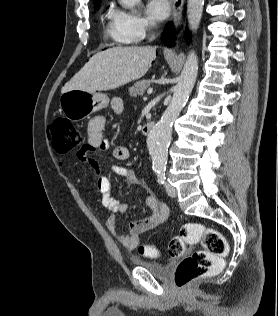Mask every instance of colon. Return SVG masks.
Returning a JSON list of instances; mask_svg holds the SVG:
<instances>
[{
	"mask_svg": "<svg viewBox=\"0 0 278 316\" xmlns=\"http://www.w3.org/2000/svg\"><path fill=\"white\" fill-rule=\"evenodd\" d=\"M53 147L58 153L69 152L84 142L83 132L70 121L58 118L51 126ZM201 243L203 249L184 257L175 270V283L184 289L194 280L219 272L224 265V257L228 253V245L223 235L215 228L200 223H187L180 233L174 236L168 246L172 257H180L185 253L186 245ZM140 253L151 257L159 255L158 251L148 247H140Z\"/></svg>",
	"mask_w": 278,
	"mask_h": 316,
	"instance_id": "1",
	"label": "colon"
}]
</instances>
